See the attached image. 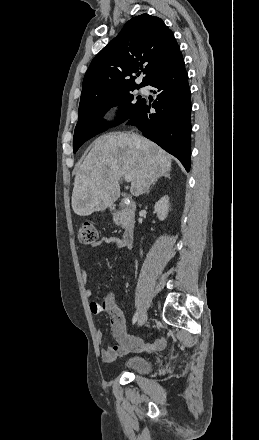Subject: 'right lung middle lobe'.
Wrapping results in <instances>:
<instances>
[{"instance_id": "1", "label": "right lung middle lobe", "mask_w": 259, "mask_h": 440, "mask_svg": "<svg viewBox=\"0 0 259 440\" xmlns=\"http://www.w3.org/2000/svg\"><path fill=\"white\" fill-rule=\"evenodd\" d=\"M134 89L123 90L97 100L83 108H79V121L75 127L73 137L74 153L79 147L95 135L106 131L110 126H116L125 120L131 118L140 108L143 99L137 97L138 101L133 102V95L130 91ZM119 105V114L113 124H108L103 119L104 114L113 106Z\"/></svg>"}]
</instances>
